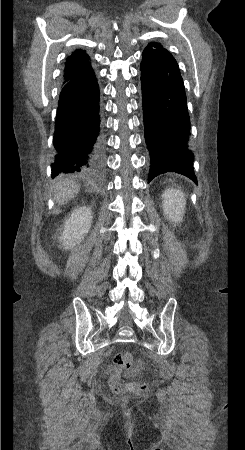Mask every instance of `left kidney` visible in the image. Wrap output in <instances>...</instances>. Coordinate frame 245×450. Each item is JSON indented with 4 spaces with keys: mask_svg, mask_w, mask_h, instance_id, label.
Wrapping results in <instances>:
<instances>
[{
    "mask_svg": "<svg viewBox=\"0 0 245 450\" xmlns=\"http://www.w3.org/2000/svg\"><path fill=\"white\" fill-rule=\"evenodd\" d=\"M162 208L164 216L173 224L180 223L183 220L186 199L181 190L168 188L162 194Z\"/></svg>",
    "mask_w": 245,
    "mask_h": 450,
    "instance_id": "left-kidney-1",
    "label": "left kidney"
}]
</instances>
